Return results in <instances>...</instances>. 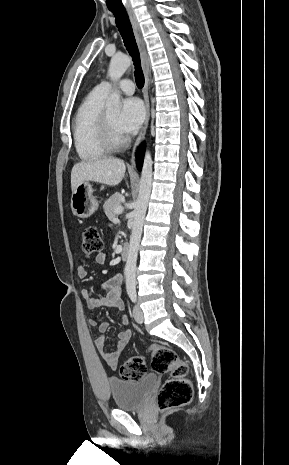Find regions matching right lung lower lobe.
Listing matches in <instances>:
<instances>
[{
  "label": "right lung lower lobe",
  "instance_id": "right-lung-lower-lobe-1",
  "mask_svg": "<svg viewBox=\"0 0 289 465\" xmlns=\"http://www.w3.org/2000/svg\"><path fill=\"white\" fill-rule=\"evenodd\" d=\"M145 152V144L143 143L136 152V164L139 170H141L143 157Z\"/></svg>",
  "mask_w": 289,
  "mask_h": 465
}]
</instances>
